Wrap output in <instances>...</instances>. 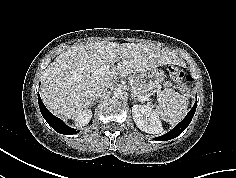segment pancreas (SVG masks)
<instances>
[{
	"instance_id": "cf45deb5",
	"label": "pancreas",
	"mask_w": 236,
	"mask_h": 178,
	"mask_svg": "<svg viewBox=\"0 0 236 178\" xmlns=\"http://www.w3.org/2000/svg\"><path fill=\"white\" fill-rule=\"evenodd\" d=\"M130 79L133 83L135 94L138 96L147 97V92L140 86L138 80L134 76H131Z\"/></svg>"
}]
</instances>
